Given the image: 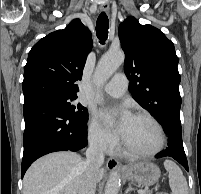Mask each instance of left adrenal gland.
Masks as SVG:
<instances>
[{
	"instance_id": "left-adrenal-gland-1",
	"label": "left adrenal gland",
	"mask_w": 201,
	"mask_h": 194,
	"mask_svg": "<svg viewBox=\"0 0 201 194\" xmlns=\"http://www.w3.org/2000/svg\"><path fill=\"white\" fill-rule=\"evenodd\" d=\"M130 191H133V188L131 187V185H129L128 189L126 190L125 194H128Z\"/></svg>"
}]
</instances>
